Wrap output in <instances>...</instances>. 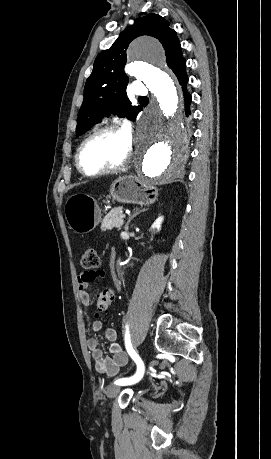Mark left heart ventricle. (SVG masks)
<instances>
[{"label": "left heart ventricle", "instance_id": "left-heart-ventricle-1", "mask_svg": "<svg viewBox=\"0 0 271 459\" xmlns=\"http://www.w3.org/2000/svg\"><path fill=\"white\" fill-rule=\"evenodd\" d=\"M131 146L124 132L100 133L85 144L82 163L89 170L116 163L128 153Z\"/></svg>", "mask_w": 271, "mask_h": 459}]
</instances>
